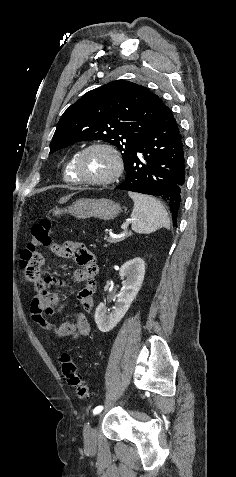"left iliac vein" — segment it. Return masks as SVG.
Returning <instances> with one entry per match:
<instances>
[{"mask_svg":"<svg viewBox=\"0 0 236 477\" xmlns=\"http://www.w3.org/2000/svg\"><path fill=\"white\" fill-rule=\"evenodd\" d=\"M105 411L101 412V411H98L95 416H94V420L96 421L95 423L97 424L98 422L101 421V417L105 415ZM97 429L88 425L85 427L84 429V442H85V447L88 449V450H92V449H95L96 446H97Z\"/></svg>","mask_w":236,"mask_h":477,"instance_id":"4c4485c4","label":"left iliac vein"}]
</instances>
